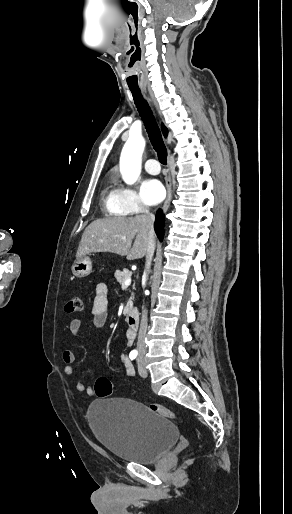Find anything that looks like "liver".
<instances>
[{"label":"liver","mask_w":292,"mask_h":514,"mask_svg":"<svg viewBox=\"0 0 292 514\" xmlns=\"http://www.w3.org/2000/svg\"><path fill=\"white\" fill-rule=\"evenodd\" d=\"M145 216L134 218H102L87 226L79 244L76 258L91 252H112L139 260L146 256L148 238ZM136 240L131 248L132 240Z\"/></svg>","instance_id":"6515ba94"}]
</instances>
